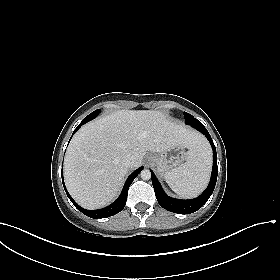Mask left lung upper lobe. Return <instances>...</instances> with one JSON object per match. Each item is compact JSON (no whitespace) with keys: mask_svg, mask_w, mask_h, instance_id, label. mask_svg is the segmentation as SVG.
<instances>
[{"mask_svg":"<svg viewBox=\"0 0 280 280\" xmlns=\"http://www.w3.org/2000/svg\"><path fill=\"white\" fill-rule=\"evenodd\" d=\"M184 116H185V123L187 125H199L201 124V122L199 120H197L196 118H194L192 115H190L189 113L187 112H184Z\"/></svg>","mask_w":280,"mask_h":280,"instance_id":"left-lung-upper-lobe-1","label":"left lung upper lobe"}]
</instances>
